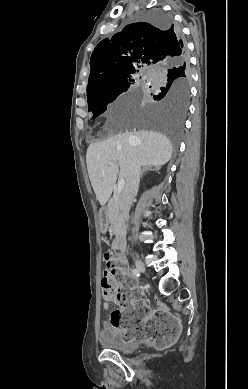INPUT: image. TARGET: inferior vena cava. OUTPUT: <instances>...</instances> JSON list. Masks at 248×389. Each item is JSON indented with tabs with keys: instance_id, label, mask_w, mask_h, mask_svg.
Returning a JSON list of instances; mask_svg holds the SVG:
<instances>
[{
	"instance_id": "1",
	"label": "inferior vena cava",
	"mask_w": 248,
	"mask_h": 389,
	"mask_svg": "<svg viewBox=\"0 0 248 389\" xmlns=\"http://www.w3.org/2000/svg\"><path fill=\"white\" fill-rule=\"evenodd\" d=\"M140 177H141V164L137 158H134L132 160L129 173L126 178V185L120 200V208H121L122 216L125 221H128V215H129V210H130L132 200L138 192Z\"/></svg>"
}]
</instances>
